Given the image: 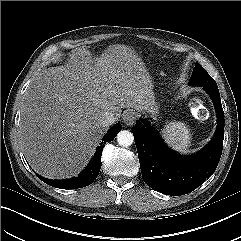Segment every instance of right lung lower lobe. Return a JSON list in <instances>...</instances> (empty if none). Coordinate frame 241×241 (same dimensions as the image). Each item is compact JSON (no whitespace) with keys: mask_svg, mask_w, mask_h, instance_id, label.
<instances>
[{"mask_svg":"<svg viewBox=\"0 0 241 241\" xmlns=\"http://www.w3.org/2000/svg\"><path fill=\"white\" fill-rule=\"evenodd\" d=\"M120 130H121V124L119 123L110 129V131L103 137L100 145L97 147V150L92 160L90 161L89 165L77 177H74L68 180H51V179H46L44 177H41L39 175L37 176L46 184L56 188L75 189V188H82L90 185L97 178L99 171L101 169V165H102L101 155H102V149L104 145L106 144V142L112 141Z\"/></svg>","mask_w":241,"mask_h":241,"instance_id":"right-lung-lower-lobe-1","label":"right lung lower lobe"}]
</instances>
